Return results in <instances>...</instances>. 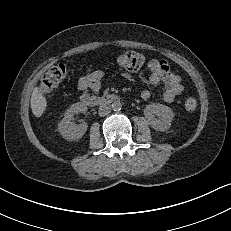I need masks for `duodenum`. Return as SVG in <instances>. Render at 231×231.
Masks as SVG:
<instances>
[{
    "mask_svg": "<svg viewBox=\"0 0 231 231\" xmlns=\"http://www.w3.org/2000/svg\"><path fill=\"white\" fill-rule=\"evenodd\" d=\"M118 100V96L114 94H107L103 96H96L85 93L81 96V103L88 107L105 106Z\"/></svg>",
    "mask_w": 231,
    "mask_h": 231,
    "instance_id": "duodenum-1",
    "label": "duodenum"
}]
</instances>
